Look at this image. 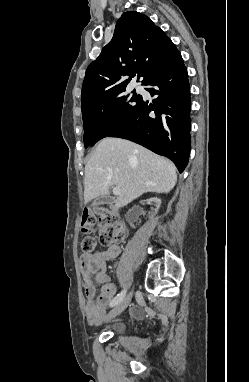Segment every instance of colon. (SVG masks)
Wrapping results in <instances>:
<instances>
[{"mask_svg": "<svg viewBox=\"0 0 249 382\" xmlns=\"http://www.w3.org/2000/svg\"><path fill=\"white\" fill-rule=\"evenodd\" d=\"M96 224L100 225V243L111 245L121 243L126 234L125 226L119 222L115 215L102 208L85 209L81 216V229L83 232L92 230ZM96 240L93 237H84L81 247L84 252H92L96 247Z\"/></svg>", "mask_w": 249, "mask_h": 382, "instance_id": "5ec220e1", "label": "colon"}]
</instances>
